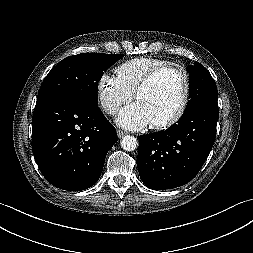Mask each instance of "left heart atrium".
I'll use <instances>...</instances> for the list:
<instances>
[{"mask_svg":"<svg viewBox=\"0 0 253 253\" xmlns=\"http://www.w3.org/2000/svg\"><path fill=\"white\" fill-rule=\"evenodd\" d=\"M117 122L129 130H138L151 124V118L146 109L139 103H134L121 110Z\"/></svg>","mask_w":253,"mask_h":253,"instance_id":"39dd6f15","label":"left heart atrium"}]
</instances>
